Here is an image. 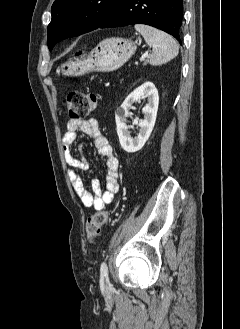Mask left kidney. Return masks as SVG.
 <instances>
[{"mask_svg": "<svg viewBox=\"0 0 240 329\" xmlns=\"http://www.w3.org/2000/svg\"><path fill=\"white\" fill-rule=\"evenodd\" d=\"M142 97H147L148 103L142 109L144 119L139 122L137 120L133 121L134 125L140 127L138 135L133 138L130 136L129 126H127L126 121L127 117L130 116L129 110L132 104L139 101ZM158 104L159 96L155 85L152 82H146L130 93L120 108L117 109L115 113L117 134L123 150L128 153H134L144 146L155 125Z\"/></svg>", "mask_w": 240, "mask_h": 329, "instance_id": "left-kidney-1", "label": "left kidney"}]
</instances>
